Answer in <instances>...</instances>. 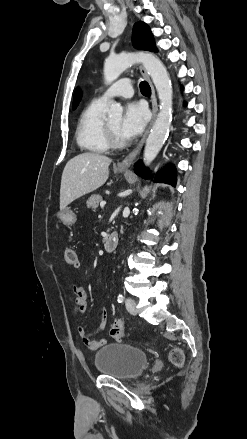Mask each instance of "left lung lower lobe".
Listing matches in <instances>:
<instances>
[{
    "label": "left lung lower lobe",
    "instance_id": "1",
    "mask_svg": "<svg viewBox=\"0 0 247 439\" xmlns=\"http://www.w3.org/2000/svg\"><path fill=\"white\" fill-rule=\"evenodd\" d=\"M134 167H135L134 171L139 176H141L143 178H146L148 176V171L144 167V165H143V163L141 161L137 162ZM156 181L157 182L168 183V184H171L172 186L175 187V185H176L175 169L173 167H169L167 170L161 172L156 177Z\"/></svg>",
    "mask_w": 247,
    "mask_h": 439
}]
</instances>
